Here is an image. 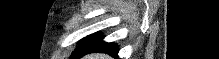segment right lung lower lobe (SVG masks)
I'll use <instances>...</instances> for the list:
<instances>
[{
	"mask_svg": "<svg viewBox=\"0 0 219 59\" xmlns=\"http://www.w3.org/2000/svg\"><path fill=\"white\" fill-rule=\"evenodd\" d=\"M118 49L119 48L116 44L106 43L101 40L91 50L81 55L80 58L88 53H93V52H103V53H108L111 56H117Z\"/></svg>",
	"mask_w": 219,
	"mask_h": 59,
	"instance_id": "right-lung-lower-lobe-1",
	"label": "right lung lower lobe"
}]
</instances>
